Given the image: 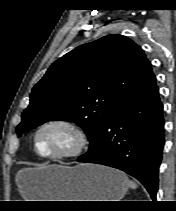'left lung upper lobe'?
I'll use <instances>...</instances> for the list:
<instances>
[{"instance_id": "5c2ea615", "label": "left lung upper lobe", "mask_w": 176, "mask_h": 211, "mask_svg": "<svg viewBox=\"0 0 176 211\" xmlns=\"http://www.w3.org/2000/svg\"><path fill=\"white\" fill-rule=\"evenodd\" d=\"M155 80L143 50L125 36L81 45L56 60L34 86L17 135L47 121H72L91 148L112 113Z\"/></svg>"}]
</instances>
